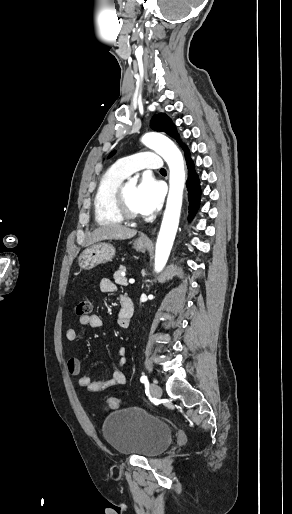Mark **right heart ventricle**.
Masks as SVG:
<instances>
[{"instance_id": "1", "label": "right heart ventricle", "mask_w": 292, "mask_h": 514, "mask_svg": "<svg viewBox=\"0 0 292 514\" xmlns=\"http://www.w3.org/2000/svg\"><path fill=\"white\" fill-rule=\"evenodd\" d=\"M124 179V176L113 169L106 171L100 178L93 198V213L97 224L111 225L123 221L112 209L111 196Z\"/></svg>"}]
</instances>
